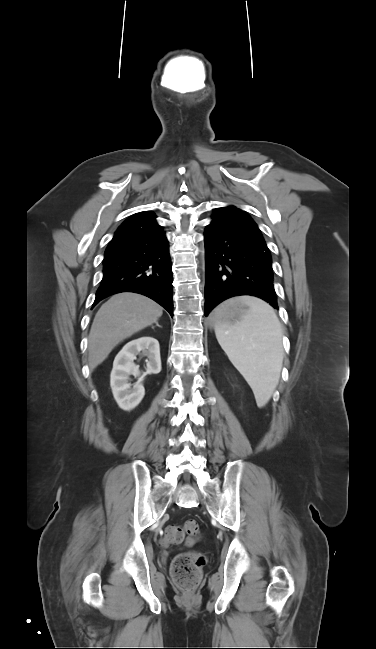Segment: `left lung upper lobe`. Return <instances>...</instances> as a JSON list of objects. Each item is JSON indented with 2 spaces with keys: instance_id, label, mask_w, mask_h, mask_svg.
Masks as SVG:
<instances>
[{
  "instance_id": "left-lung-upper-lobe-1",
  "label": "left lung upper lobe",
  "mask_w": 376,
  "mask_h": 649,
  "mask_svg": "<svg viewBox=\"0 0 376 649\" xmlns=\"http://www.w3.org/2000/svg\"><path fill=\"white\" fill-rule=\"evenodd\" d=\"M213 216L215 217H222V218H229V219H234L237 220L245 225H247L250 228H253L257 231H259V228L255 224V222L252 220V218L246 213L241 211L240 209L234 207V206H227L223 208H218L214 211Z\"/></svg>"
}]
</instances>
